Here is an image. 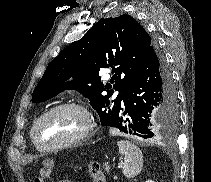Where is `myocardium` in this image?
Instances as JSON below:
<instances>
[{"mask_svg":"<svg viewBox=\"0 0 211 182\" xmlns=\"http://www.w3.org/2000/svg\"><path fill=\"white\" fill-rule=\"evenodd\" d=\"M60 109H75L77 111H79L80 113L83 114V116L85 117V126L83 128V130L76 136L67 139L65 141H62L60 143L57 144H53L50 146H41L35 136L36 133V129L39 125V123L48 115H50L51 113L60 110ZM94 128V119L93 116L91 115V113L89 112V110L79 104V103H75V102H63V103H59L53 107H51L50 109L46 110L44 113H42L34 122L31 131H30V137L32 142L34 143L35 147L41 151H51V150H55L58 148H62V147H66V146H70V145H75L78 143H81L82 141H84L85 139H87L90 134L92 133Z\"/></svg>","mask_w":211,"mask_h":182,"instance_id":"1","label":"myocardium"}]
</instances>
